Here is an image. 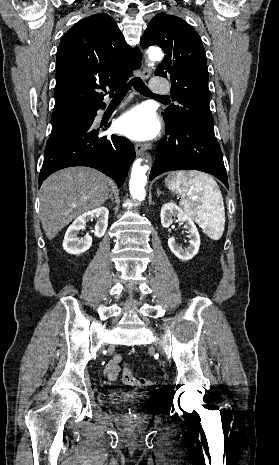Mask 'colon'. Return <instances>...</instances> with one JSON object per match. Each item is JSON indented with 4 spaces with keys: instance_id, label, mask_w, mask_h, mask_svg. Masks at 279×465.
<instances>
[{
    "instance_id": "1",
    "label": "colon",
    "mask_w": 279,
    "mask_h": 465,
    "mask_svg": "<svg viewBox=\"0 0 279 465\" xmlns=\"http://www.w3.org/2000/svg\"><path fill=\"white\" fill-rule=\"evenodd\" d=\"M122 381L125 384L131 385L133 387L153 386L156 383L153 380L133 375L131 369L127 364H125L122 369Z\"/></svg>"
}]
</instances>
